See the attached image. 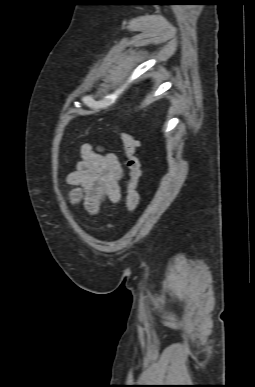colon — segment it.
<instances>
[{
	"label": "colon",
	"instance_id": "colon-1",
	"mask_svg": "<svg viewBox=\"0 0 255 387\" xmlns=\"http://www.w3.org/2000/svg\"><path fill=\"white\" fill-rule=\"evenodd\" d=\"M120 138L124 147L126 167L129 172L126 195V208L129 212H133L139 204V194L137 191V187L141 176L140 161L136 155L138 141L134 136L128 133H122Z\"/></svg>",
	"mask_w": 255,
	"mask_h": 387
}]
</instances>
